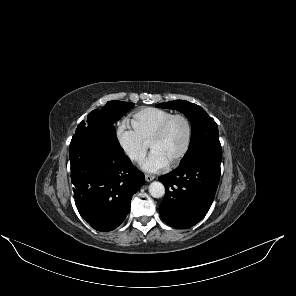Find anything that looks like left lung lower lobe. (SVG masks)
Instances as JSON below:
<instances>
[{
  "label": "left lung lower lobe",
  "instance_id": "obj_1",
  "mask_svg": "<svg viewBox=\"0 0 296 296\" xmlns=\"http://www.w3.org/2000/svg\"><path fill=\"white\" fill-rule=\"evenodd\" d=\"M221 159V150L206 152L158 178L166 188L159 209L167 224L185 229L203 219L214 200Z\"/></svg>",
  "mask_w": 296,
  "mask_h": 296
}]
</instances>
